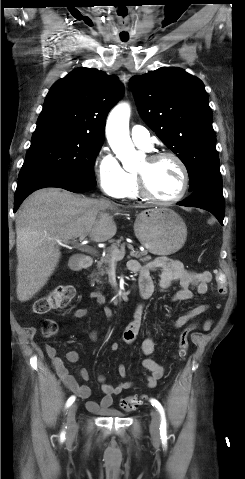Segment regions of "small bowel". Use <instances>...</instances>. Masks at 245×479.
Returning a JSON list of instances; mask_svg holds the SVG:
<instances>
[{
  "label": "small bowel",
  "instance_id": "c3829d8e",
  "mask_svg": "<svg viewBox=\"0 0 245 479\" xmlns=\"http://www.w3.org/2000/svg\"><path fill=\"white\" fill-rule=\"evenodd\" d=\"M128 267L132 272L139 273V292L143 299H149L154 296L157 291H167L174 283L179 285V289L172 295V301H189L194 297V292L204 296L208 293L209 284L212 280V274L209 271H189L184 268L183 264L174 259L167 257H156L148 262L141 263L138 260H130ZM157 271L159 273L158 286L155 285L151 274ZM92 300L98 305H105L107 302L106 296L100 291H94L90 294ZM208 309V305L200 304L180 315L174 322L175 328H181L189 321L197 318ZM87 308L80 307L74 310L73 318L78 319L86 316ZM105 313L110 316L111 310L105 307ZM144 307L139 304L134 310L131 321L127 324L122 333V340L127 344L133 343L143 325ZM211 327V322L207 321L204 324V329L208 330ZM91 338L96 339V335L91 333ZM112 351L119 349V343L113 342L110 345ZM141 350L147 357L142 361L143 368L146 370L145 385L148 388H154L157 385L164 373L165 368L160 363L156 362L149 356L155 351V341L152 336L145 338L141 344ZM45 351L51 359V363L56 375L60 378L63 384L78 397L87 399L90 394V388L86 385H80L75 378L69 373L64 365L61 357L57 355V349L53 345H46ZM66 359L71 363H76L79 360V353L76 350H70L66 354ZM118 374L122 378H126L127 370L123 364L118 365ZM80 377L87 381L89 380V372L85 368L79 371ZM98 381L101 384L103 396L99 401L90 400L87 402L88 410L92 412H99L111 407L114 396L123 391L133 388L134 384L131 381H122L116 385L106 382L103 375L98 376Z\"/></svg>",
  "mask_w": 245,
  "mask_h": 479
}]
</instances>
